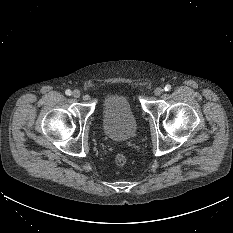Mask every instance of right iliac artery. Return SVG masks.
I'll use <instances>...</instances> for the list:
<instances>
[{
	"label": "right iliac artery",
	"instance_id": "obj_1",
	"mask_svg": "<svg viewBox=\"0 0 233 233\" xmlns=\"http://www.w3.org/2000/svg\"><path fill=\"white\" fill-rule=\"evenodd\" d=\"M71 93H72V92H71V90H69V89L65 91V94L68 95V96H70Z\"/></svg>",
	"mask_w": 233,
	"mask_h": 233
}]
</instances>
